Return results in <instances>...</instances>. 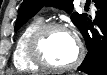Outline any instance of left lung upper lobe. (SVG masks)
<instances>
[{
	"label": "left lung upper lobe",
	"mask_w": 107,
	"mask_h": 75,
	"mask_svg": "<svg viewBox=\"0 0 107 75\" xmlns=\"http://www.w3.org/2000/svg\"><path fill=\"white\" fill-rule=\"evenodd\" d=\"M44 5L63 8L70 13L73 9V0H24L16 20L15 30L33 17ZM71 20L80 31L87 22L86 15L77 12L71 14Z\"/></svg>",
	"instance_id": "obj_1"
}]
</instances>
